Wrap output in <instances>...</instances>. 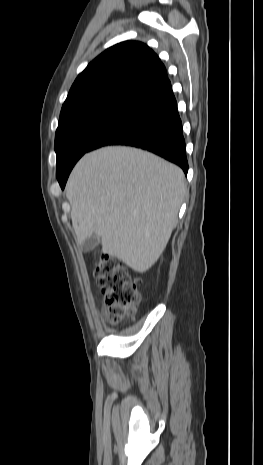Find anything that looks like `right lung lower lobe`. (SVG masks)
I'll return each instance as SVG.
<instances>
[{"instance_id":"1","label":"right lung lower lobe","mask_w":263,"mask_h":465,"mask_svg":"<svg viewBox=\"0 0 263 465\" xmlns=\"http://www.w3.org/2000/svg\"><path fill=\"white\" fill-rule=\"evenodd\" d=\"M107 145H126L148 150L177 164L187 174L182 123L169 80L139 96L95 141L90 151ZM68 175L58 179L62 189Z\"/></svg>"}]
</instances>
